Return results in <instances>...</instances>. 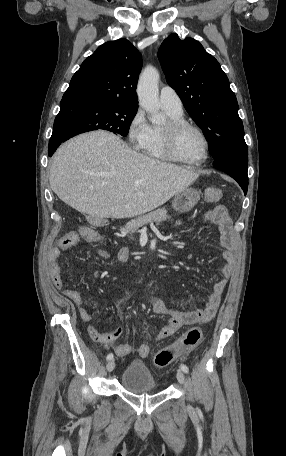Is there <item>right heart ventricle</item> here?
<instances>
[{
    "label": "right heart ventricle",
    "instance_id": "right-heart-ventricle-1",
    "mask_svg": "<svg viewBox=\"0 0 286 456\" xmlns=\"http://www.w3.org/2000/svg\"><path fill=\"white\" fill-rule=\"evenodd\" d=\"M171 119H182V114H173L166 110ZM162 128L157 126L150 127L149 136L142 146V152L150 159L156 161H169L170 159L164 152L162 143Z\"/></svg>",
    "mask_w": 286,
    "mask_h": 456
}]
</instances>
